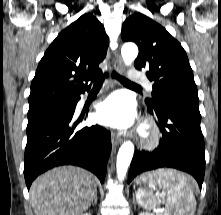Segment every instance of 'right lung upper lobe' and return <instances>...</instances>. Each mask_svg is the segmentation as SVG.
Listing matches in <instances>:
<instances>
[{
	"mask_svg": "<svg viewBox=\"0 0 221 215\" xmlns=\"http://www.w3.org/2000/svg\"><path fill=\"white\" fill-rule=\"evenodd\" d=\"M109 38L103 25L84 14L60 32L41 59L31 83L29 109L71 101L100 75ZM86 82V84H85Z\"/></svg>",
	"mask_w": 221,
	"mask_h": 215,
	"instance_id": "cb5924a9",
	"label": "right lung upper lobe"
}]
</instances>
